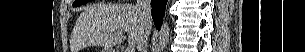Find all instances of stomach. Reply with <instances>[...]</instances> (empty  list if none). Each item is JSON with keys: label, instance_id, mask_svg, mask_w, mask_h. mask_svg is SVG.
Masks as SVG:
<instances>
[{"label": "stomach", "instance_id": "1", "mask_svg": "<svg viewBox=\"0 0 305 52\" xmlns=\"http://www.w3.org/2000/svg\"><path fill=\"white\" fill-rule=\"evenodd\" d=\"M104 52H113V51H111V50H106V51H104Z\"/></svg>", "mask_w": 305, "mask_h": 52}]
</instances>
